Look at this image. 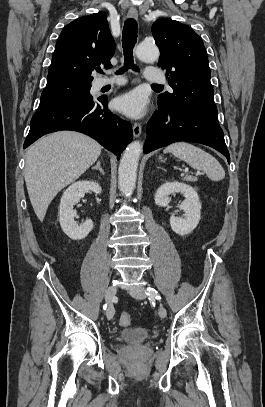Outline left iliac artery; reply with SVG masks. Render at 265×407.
<instances>
[{
    "label": "left iliac artery",
    "instance_id": "44dca946",
    "mask_svg": "<svg viewBox=\"0 0 265 407\" xmlns=\"http://www.w3.org/2000/svg\"><path fill=\"white\" fill-rule=\"evenodd\" d=\"M147 295H148L149 297H155V298L158 299V300L161 299V297H160V295L158 294V292H157L154 288H151V287L147 288Z\"/></svg>",
    "mask_w": 265,
    "mask_h": 407
}]
</instances>
